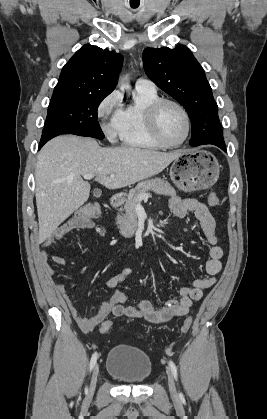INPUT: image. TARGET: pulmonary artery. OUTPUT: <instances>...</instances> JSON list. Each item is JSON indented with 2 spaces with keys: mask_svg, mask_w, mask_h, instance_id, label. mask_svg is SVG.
<instances>
[{
  "mask_svg": "<svg viewBox=\"0 0 267 419\" xmlns=\"http://www.w3.org/2000/svg\"><path fill=\"white\" fill-rule=\"evenodd\" d=\"M136 89H145V90H156L155 84L148 79L145 78H139L137 79L135 83Z\"/></svg>",
  "mask_w": 267,
  "mask_h": 419,
  "instance_id": "1",
  "label": "pulmonary artery"
}]
</instances>
